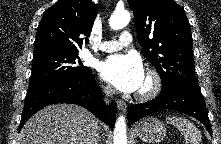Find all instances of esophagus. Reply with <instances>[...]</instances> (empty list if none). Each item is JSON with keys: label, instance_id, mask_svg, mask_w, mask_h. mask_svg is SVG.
Instances as JSON below:
<instances>
[{"label": "esophagus", "instance_id": "34e87169", "mask_svg": "<svg viewBox=\"0 0 221 144\" xmlns=\"http://www.w3.org/2000/svg\"><path fill=\"white\" fill-rule=\"evenodd\" d=\"M117 106L119 108V110L123 111V112H126L127 110V105L124 101L122 100H117Z\"/></svg>", "mask_w": 221, "mask_h": 144}]
</instances>
